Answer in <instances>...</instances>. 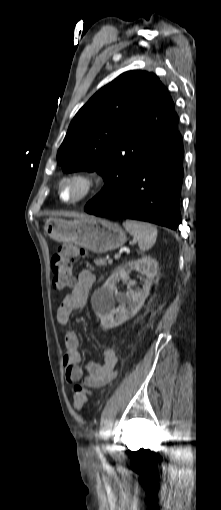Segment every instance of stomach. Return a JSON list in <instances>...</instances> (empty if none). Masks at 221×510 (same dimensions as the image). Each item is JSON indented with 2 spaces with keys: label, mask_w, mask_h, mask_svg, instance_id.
Returning a JSON list of instances; mask_svg holds the SVG:
<instances>
[{
  "label": "stomach",
  "mask_w": 221,
  "mask_h": 510,
  "mask_svg": "<svg viewBox=\"0 0 221 510\" xmlns=\"http://www.w3.org/2000/svg\"><path fill=\"white\" fill-rule=\"evenodd\" d=\"M44 230L57 242L74 243L98 254L117 249L127 240L119 224L92 216L75 220L49 217Z\"/></svg>",
  "instance_id": "1"
}]
</instances>
